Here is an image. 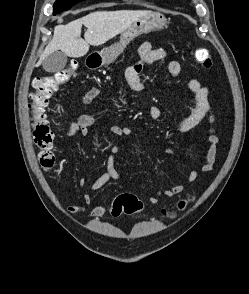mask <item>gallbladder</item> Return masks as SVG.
<instances>
[{
  "instance_id": "bac80fb5",
  "label": "gallbladder",
  "mask_w": 249,
  "mask_h": 294,
  "mask_svg": "<svg viewBox=\"0 0 249 294\" xmlns=\"http://www.w3.org/2000/svg\"><path fill=\"white\" fill-rule=\"evenodd\" d=\"M67 64V55L62 51H55L47 56L43 62V68L46 72L55 73L65 68Z\"/></svg>"
}]
</instances>
